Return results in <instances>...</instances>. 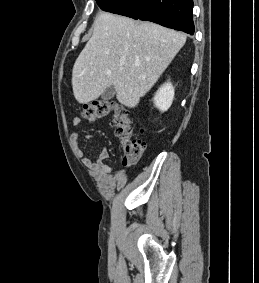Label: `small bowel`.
<instances>
[{
    "instance_id": "small-bowel-1",
    "label": "small bowel",
    "mask_w": 259,
    "mask_h": 283,
    "mask_svg": "<svg viewBox=\"0 0 259 283\" xmlns=\"http://www.w3.org/2000/svg\"><path fill=\"white\" fill-rule=\"evenodd\" d=\"M82 121L81 118L79 117H74L72 120V125L74 128H77L81 125ZM86 139L87 140H93L94 136L91 133L86 134ZM80 135L78 132H74L72 134V140L77 144L79 141ZM78 152L81 153L80 148H78ZM109 152L106 148H102L98 154V158L93 161L89 157H83L82 158V163L89 167L91 170L94 172L98 173L101 175L102 178H107L110 176L112 167L105 162V160L108 158Z\"/></svg>"
}]
</instances>
